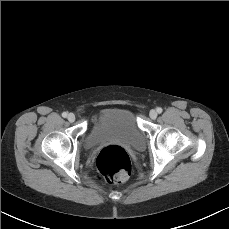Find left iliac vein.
<instances>
[{"label":"left iliac vein","mask_w":229,"mask_h":229,"mask_svg":"<svg viewBox=\"0 0 229 229\" xmlns=\"http://www.w3.org/2000/svg\"><path fill=\"white\" fill-rule=\"evenodd\" d=\"M149 116L151 119H155L157 117V112L155 110H151L149 112Z\"/></svg>","instance_id":"left-iliac-vein-1"}]
</instances>
